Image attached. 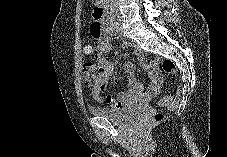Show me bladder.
Wrapping results in <instances>:
<instances>
[{
	"mask_svg": "<svg viewBox=\"0 0 227 157\" xmlns=\"http://www.w3.org/2000/svg\"><path fill=\"white\" fill-rule=\"evenodd\" d=\"M91 112L115 124L126 125L139 117L143 113V110L138 106L124 108L92 107Z\"/></svg>",
	"mask_w": 227,
	"mask_h": 157,
	"instance_id": "31cf9c89",
	"label": "bladder"
}]
</instances>
